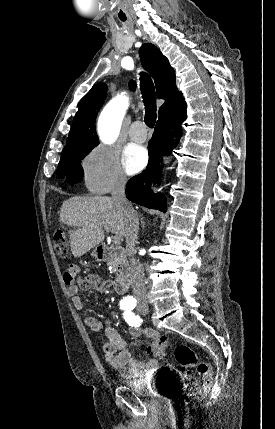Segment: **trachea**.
<instances>
[{
  "mask_svg": "<svg viewBox=\"0 0 275 429\" xmlns=\"http://www.w3.org/2000/svg\"><path fill=\"white\" fill-rule=\"evenodd\" d=\"M140 90L145 105V124L153 128L156 122V94L154 84L149 75L141 73Z\"/></svg>",
  "mask_w": 275,
  "mask_h": 429,
  "instance_id": "trachea-1",
  "label": "trachea"
}]
</instances>
